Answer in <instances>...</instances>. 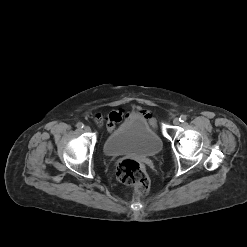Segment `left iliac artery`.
<instances>
[{
  "label": "left iliac artery",
  "instance_id": "left-iliac-artery-1",
  "mask_svg": "<svg viewBox=\"0 0 247 247\" xmlns=\"http://www.w3.org/2000/svg\"><path fill=\"white\" fill-rule=\"evenodd\" d=\"M187 120V116L186 115H181L179 118L180 122H185Z\"/></svg>",
  "mask_w": 247,
  "mask_h": 247
}]
</instances>
